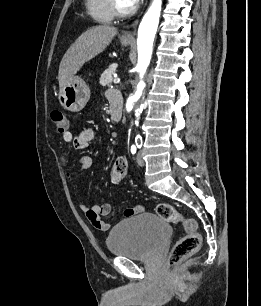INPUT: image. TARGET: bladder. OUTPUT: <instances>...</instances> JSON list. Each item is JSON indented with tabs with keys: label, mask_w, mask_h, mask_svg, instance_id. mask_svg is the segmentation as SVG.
Returning <instances> with one entry per match:
<instances>
[{
	"label": "bladder",
	"mask_w": 261,
	"mask_h": 306,
	"mask_svg": "<svg viewBox=\"0 0 261 306\" xmlns=\"http://www.w3.org/2000/svg\"><path fill=\"white\" fill-rule=\"evenodd\" d=\"M171 227L158 214L142 213L116 225L106 244L114 256L133 260L150 258L170 237Z\"/></svg>",
	"instance_id": "obj_1"
}]
</instances>
